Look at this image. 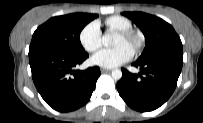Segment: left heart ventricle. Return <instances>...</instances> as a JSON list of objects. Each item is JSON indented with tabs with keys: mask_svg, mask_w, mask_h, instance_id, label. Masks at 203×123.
<instances>
[{
	"mask_svg": "<svg viewBox=\"0 0 203 123\" xmlns=\"http://www.w3.org/2000/svg\"><path fill=\"white\" fill-rule=\"evenodd\" d=\"M113 45L114 46H118V45H126L129 48H133V44L131 41L124 39L122 36H120L119 34L116 35L114 41H113Z\"/></svg>",
	"mask_w": 203,
	"mask_h": 123,
	"instance_id": "obj_1",
	"label": "left heart ventricle"
}]
</instances>
